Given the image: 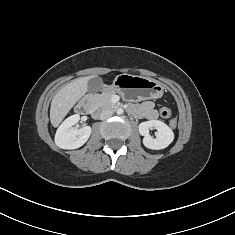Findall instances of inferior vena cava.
<instances>
[{"mask_svg":"<svg viewBox=\"0 0 235 235\" xmlns=\"http://www.w3.org/2000/svg\"><path fill=\"white\" fill-rule=\"evenodd\" d=\"M112 114H113L112 110L105 109L100 113V119L101 120L107 119V118L111 117Z\"/></svg>","mask_w":235,"mask_h":235,"instance_id":"inferior-vena-cava-1","label":"inferior vena cava"}]
</instances>
